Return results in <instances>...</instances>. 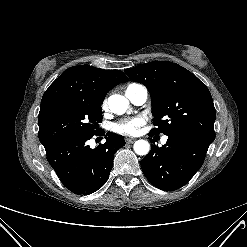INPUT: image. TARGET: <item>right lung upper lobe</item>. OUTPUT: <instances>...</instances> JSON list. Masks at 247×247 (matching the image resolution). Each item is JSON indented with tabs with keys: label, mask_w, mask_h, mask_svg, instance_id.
Returning a JSON list of instances; mask_svg holds the SVG:
<instances>
[{
	"label": "right lung upper lobe",
	"mask_w": 247,
	"mask_h": 247,
	"mask_svg": "<svg viewBox=\"0 0 247 247\" xmlns=\"http://www.w3.org/2000/svg\"><path fill=\"white\" fill-rule=\"evenodd\" d=\"M128 78L120 70H104L90 65L66 69L46 90L40 112L82 99L103 101L107 92Z\"/></svg>",
	"instance_id": "obj_1"
}]
</instances>
